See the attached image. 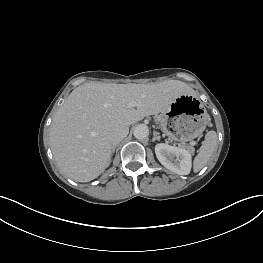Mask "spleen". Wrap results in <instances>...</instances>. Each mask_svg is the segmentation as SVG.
Returning <instances> with one entry per match:
<instances>
[{
    "label": "spleen",
    "instance_id": "spleen-1",
    "mask_svg": "<svg viewBox=\"0 0 263 263\" xmlns=\"http://www.w3.org/2000/svg\"><path fill=\"white\" fill-rule=\"evenodd\" d=\"M217 145V134L215 131H209L205 135V140L200 147L197 156L194 158L193 170L200 171L211 158Z\"/></svg>",
    "mask_w": 263,
    "mask_h": 263
}]
</instances>
